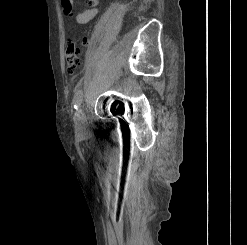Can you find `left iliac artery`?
<instances>
[{
    "mask_svg": "<svg viewBox=\"0 0 247 245\" xmlns=\"http://www.w3.org/2000/svg\"><path fill=\"white\" fill-rule=\"evenodd\" d=\"M82 100H83V92L82 90H78L75 95H74V98H73V106H74V109L78 110L81 103H82Z\"/></svg>",
    "mask_w": 247,
    "mask_h": 245,
    "instance_id": "left-iliac-artery-1",
    "label": "left iliac artery"
}]
</instances>
